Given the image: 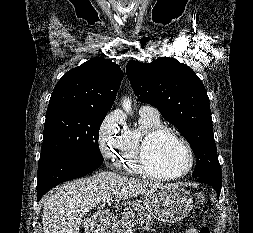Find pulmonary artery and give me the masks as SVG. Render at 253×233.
<instances>
[{
	"instance_id": "1",
	"label": "pulmonary artery",
	"mask_w": 253,
	"mask_h": 233,
	"mask_svg": "<svg viewBox=\"0 0 253 233\" xmlns=\"http://www.w3.org/2000/svg\"><path fill=\"white\" fill-rule=\"evenodd\" d=\"M140 114H146V115H155L159 116V112L156 108L150 106V105H143L139 109Z\"/></svg>"
}]
</instances>
